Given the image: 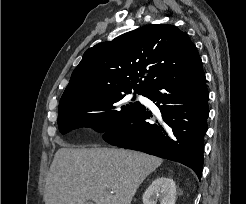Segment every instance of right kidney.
Segmentation results:
<instances>
[{
  "instance_id": "ca27d5eb",
  "label": "right kidney",
  "mask_w": 246,
  "mask_h": 204,
  "mask_svg": "<svg viewBox=\"0 0 246 204\" xmlns=\"http://www.w3.org/2000/svg\"><path fill=\"white\" fill-rule=\"evenodd\" d=\"M159 200L160 204H175L176 186L171 178H156L143 194L144 204H156Z\"/></svg>"
}]
</instances>
